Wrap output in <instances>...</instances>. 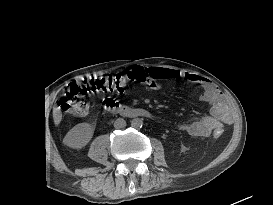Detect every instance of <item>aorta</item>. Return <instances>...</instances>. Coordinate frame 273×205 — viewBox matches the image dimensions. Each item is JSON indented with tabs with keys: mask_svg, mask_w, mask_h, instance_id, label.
Masks as SVG:
<instances>
[{
	"mask_svg": "<svg viewBox=\"0 0 273 205\" xmlns=\"http://www.w3.org/2000/svg\"><path fill=\"white\" fill-rule=\"evenodd\" d=\"M142 125H143V120L141 118H134L131 121V126L134 129H140V128H142Z\"/></svg>",
	"mask_w": 273,
	"mask_h": 205,
	"instance_id": "762f6f07",
	"label": "aorta"
}]
</instances>
